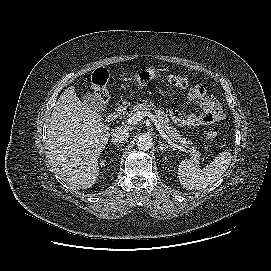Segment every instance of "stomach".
<instances>
[{"instance_id":"obj_1","label":"stomach","mask_w":271,"mask_h":271,"mask_svg":"<svg viewBox=\"0 0 271 271\" xmlns=\"http://www.w3.org/2000/svg\"><path fill=\"white\" fill-rule=\"evenodd\" d=\"M157 73L158 70L153 66L139 69L134 76L137 86L135 93L147 86L149 82L157 76Z\"/></svg>"}]
</instances>
